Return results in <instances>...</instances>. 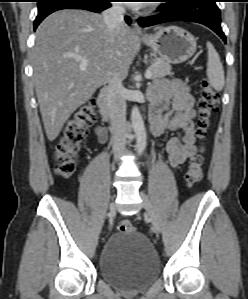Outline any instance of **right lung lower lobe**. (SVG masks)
<instances>
[{
	"label": "right lung lower lobe",
	"instance_id": "98d812e1",
	"mask_svg": "<svg viewBox=\"0 0 248 299\" xmlns=\"http://www.w3.org/2000/svg\"><path fill=\"white\" fill-rule=\"evenodd\" d=\"M112 0H38V15L34 22V30L40 22L52 12L61 9H84L92 12H101L111 6ZM128 24L129 17L125 18Z\"/></svg>",
	"mask_w": 248,
	"mask_h": 299
}]
</instances>
